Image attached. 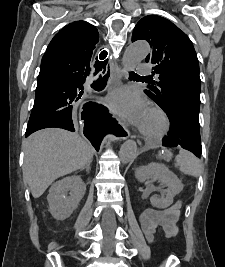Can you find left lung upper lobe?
<instances>
[{
    "mask_svg": "<svg viewBox=\"0 0 225 267\" xmlns=\"http://www.w3.org/2000/svg\"><path fill=\"white\" fill-rule=\"evenodd\" d=\"M146 40L152 50L146 62L153 65L159 81L145 90L154 102L169 115L172 104L182 93L200 94L198 58L188 36L166 18L149 15L137 23L132 42Z\"/></svg>",
    "mask_w": 225,
    "mask_h": 267,
    "instance_id": "1",
    "label": "left lung upper lobe"
}]
</instances>
